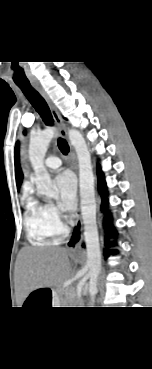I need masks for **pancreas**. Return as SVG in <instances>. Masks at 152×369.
<instances>
[{
	"mask_svg": "<svg viewBox=\"0 0 152 369\" xmlns=\"http://www.w3.org/2000/svg\"><path fill=\"white\" fill-rule=\"evenodd\" d=\"M74 298H75L74 293H73V292H70V293L68 294V299H74Z\"/></svg>",
	"mask_w": 152,
	"mask_h": 369,
	"instance_id": "cf45deb5",
	"label": "pancreas"
}]
</instances>
